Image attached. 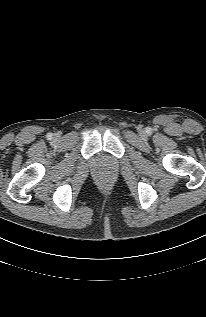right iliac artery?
I'll list each match as a JSON object with an SVG mask.
<instances>
[{"instance_id":"right-iliac-artery-1","label":"right iliac artery","mask_w":206,"mask_h":317,"mask_svg":"<svg viewBox=\"0 0 206 317\" xmlns=\"http://www.w3.org/2000/svg\"><path fill=\"white\" fill-rule=\"evenodd\" d=\"M52 136H53L52 133H48V134H47V138H48V139H51Z\"/></svg>"}]
</instances>
